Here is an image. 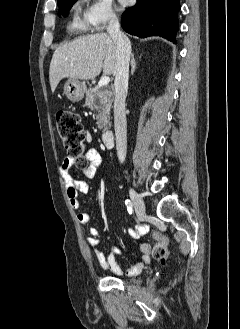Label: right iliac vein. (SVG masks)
I'll return each mask as SVG.
<instances>
[{
    "instance_id": "obj_1",
    "label": "right iliac vein",
    "mask_w": 240,
    "mask_h": 329,
    "mask_svg": "<svg viewBox=\"0 0 240 329\" xmlns=\"http://www.w3.org/2000/svg\"><path fill=\"white\" fill-rule=\"evenodd\" d=\"M130 197L137 216L143 218L146 214V208L142 197L133 189H130Z\"/></svg>"
}]
</instances>
